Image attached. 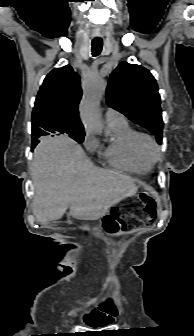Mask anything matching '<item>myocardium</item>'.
<instances>
[{
	"label": "myocardium",
	"instance_id": "myocardium-1",
	"mask_svg": "<svg viewBox=\"0 0 194 336\" xmlns=\"http://www.w3.org/2000/svg\"><path fill=\"white\" fill-rule=\"evenodd\" d=\"M151 146V154L147 156L144 152V145ZM134 149L140 160L152 166L161 159V150L155 137L144 132H137L134 137Z\"/></svg>",
	"mask_w": 194,
	"mask_h": 336
}]
</instances>
